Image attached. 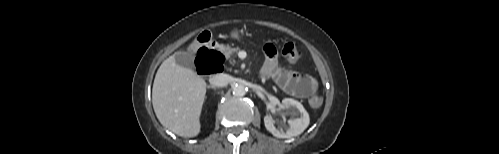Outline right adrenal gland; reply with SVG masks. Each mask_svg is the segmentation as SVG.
Returning <instances> with one entry per match:
<instances>
[{"label":"right adrenal gland","instance_id":"obj_1","mask_svg":"<svg viewBox=\"0 0 499 154\" xmlns=\"http://www.w3.org/2000/svg\"><path fill=\"white\" fill-rule=\"evenodd\" d=\"M208 88H212V89H215V87H214V86H208Z\"/></svg>","mask_w":499,"mask_h":154}]
</instances>
